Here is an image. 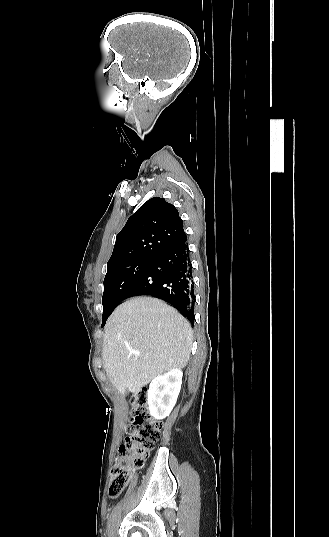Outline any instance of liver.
Here are the masks:
<instances>
[{
  "label": "liver",
  "instance_id": "obj_1",
  "mask_svg": "<svg viewBox=\"0 0 329 537\" xmlns=\"http://www.w3.org/2000/svg\"><path fill=\"white\" fill-rule=\"evenodd\" d=\"M192 341L191 326L176 309L156 298H132L114 310L105 327L107 377L120 393L137 394L156 376L184 368Z\"/></svg>",
  "mask_w": 329,
  "mask_h": 537
}]
</instances>
